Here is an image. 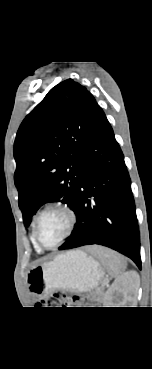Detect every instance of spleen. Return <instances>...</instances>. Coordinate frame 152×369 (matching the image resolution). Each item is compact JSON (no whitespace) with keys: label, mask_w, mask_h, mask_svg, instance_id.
Wrapping results in <instances>:
<instances>
[{"label":"spleen","mask_w":152,"mask_h":369,"mask_svg":"<svg viewBox=\"0 0 152 369\" xmlns=\"http://www.w3.org/2000/svg\"><path fill=\"white\" fill-rule=\"evenodd\" d=\"M98 256L103 260L105 267L116 279H120L126 268L124 258L115 251L99 249Z\"/></svg>","instance_id":"obj_1"}]
</instances>
